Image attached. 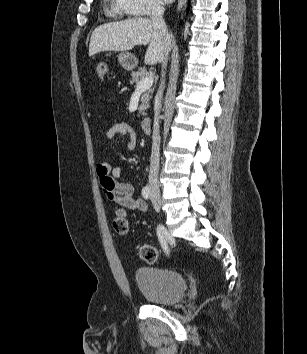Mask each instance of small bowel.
I'll return each mask as SVG.
<instances>
[{
	"label": "small bowel",
	"mask_w": 307,
	"mask_h": 354,
	"mask_svg": "<svg viewBox=\"0 0 307 354\" xmlns=\"http://www.w3.org/2000/svg\"><path fill=\"white\" fill-rule=\"evenodd\" d=\"M118 135L125 137L128 149L135 148L137 134L130 124L119 122L111 126L106 132L107 139H113ZM96 172L103 192L109 201L138 212L147 210V203L143 199L133 197V185L129 182L118 181L124 175L123 167H113L109 162H102L98 165Z\"/></svg>",
	"instance_id": "small-bowel-1"
}]
</instances>
